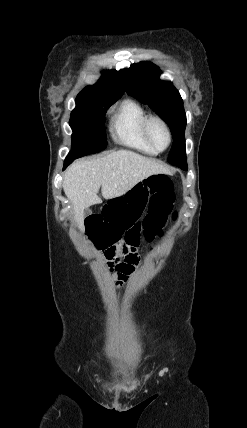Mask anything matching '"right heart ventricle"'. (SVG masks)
I'll return each instance as SVG.
<instances>
[{"label": "right heart ventricle", "mask_w": 247, "mask_h": 428, "mask_svg": "<svg viewBox=\"0 0 247 428\" xmlns=\"http://www.w3.org/2000/svg\"><path fill=\"white\" fill-rule=\"evenodd\" d=\"M146 110L135 100H125L111 118V134L115 142L147 155H157L146 140L143 124Z\"/></svg>", "instance_id": "e07e8e85"}]
</instances>
